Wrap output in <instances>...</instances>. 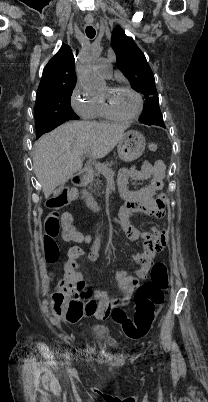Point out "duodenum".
Segmentation results:
<instances>
[{
	"mask_svg": "<svg viewBox=\"0 0 208 402\" xmlns=\"http://www.w3.org/2000/svg\"><path fill=\"white\" fill-rule=\"evenodd\" d=\"M86 177H87V175H86V172H84V171H79V172L75 173L72 177L73 184L76 187H82L86 182ZM87 204H88L89 208H91L93 210L98 209V205L91 200L87 201Z\"/></svg>",
	"mask_w": 208,
	"mask_h": 402,
	"instance_id": "1",
	"label": "duodenum"
}]
</instances>
